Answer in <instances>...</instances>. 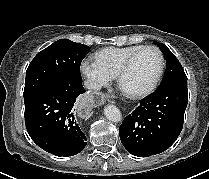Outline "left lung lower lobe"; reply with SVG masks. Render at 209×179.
Masks as SVG:
<instances>
[{
  "label": "left lung lower lobe",
  "mask_w": 209,
  "mask_h": 179,
  "mask_svg": "<svg viewBox=\"0 0 209 179\" xmlns=\"http://www.w3.org/2000/svg\"><path fill=\"white\" fill-rule=\"evenodd\" d=\"M188 103L187 81L158 88L119 127L123 146L138 157L167 150L179 136Z\"/></svg>",
  "instance_id": "0a47b994"
}]
</instances>
